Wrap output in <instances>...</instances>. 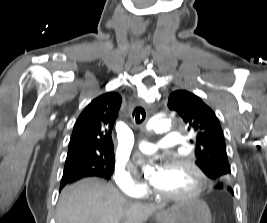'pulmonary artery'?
Returning <instances> with one entry per match:
<instances>
[{"label":"pulmonary artery","mask_w":267,"mask_h":223,"mask_svg":"<svg viewBox=\"0 0 267 223\" xmlns=\"http://www.w3.org/2000/svg\"><path fill=\"white\" fill-rule=\"evenodd\" d=\"M181 142V136L173 133H166L162 136L158 144L149 141H139L137 148L143 153H153L158 150L159 147H172L177 146Z\"/></svg>","instance_id":"pulmonary-artery-1"}]
</instances>
